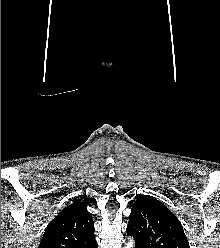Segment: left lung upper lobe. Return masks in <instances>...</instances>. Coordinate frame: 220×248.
Wrapping results in <instances>:
<instances>
[{
  "label": "left lung upper lobe",
  "mask_w": 220,
  "mask_h": 248,
  "mask_svg": "<svg viewBox=\"0 0 220 248\" xmlns=\"http://www.w3.org/2000/svg\"><path fill=\"white\" fill-rule=\"evenodd\" d=\"M127 232L144 248H190L180 221L159 200L138 196Z\"/></svg>",
  "instance_id": "1"
}]
</instances>
